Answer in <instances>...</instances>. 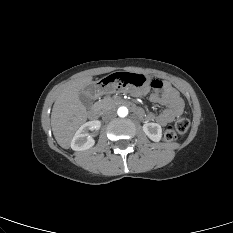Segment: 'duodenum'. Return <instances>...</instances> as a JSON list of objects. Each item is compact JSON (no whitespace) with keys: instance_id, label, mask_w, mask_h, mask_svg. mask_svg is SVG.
<instances>
[{"instance_id":"duodenum-1","label":"duodenum","mask_w":233,"mask_h":233,"mask_svg":"<svg viewBox=\"0 0 233 233\" xmlns=\"http://www.w3.org/2000/svg\"><path fill=\"white\" fill-rule=\"evenodd\" d=\"M120 105L126 106L128 108H130L131 110H133V112L138 115L141 116L142 115V110L139 109L138 107H136L132 102L128 101V100H120L119 101ZM99 108L98 107H93L90 109L89 111V117L92 120H96L99 117Z\"/></svg>"}]
</instances>
